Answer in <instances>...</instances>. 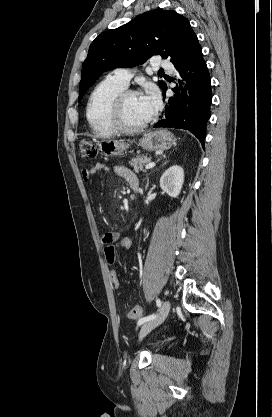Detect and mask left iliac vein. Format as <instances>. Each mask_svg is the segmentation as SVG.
I'll use <instances>...</instances> for the list:
<instances>
[{
	"instance_id": "4c4485c4",
	"label": "left iliac vein",
	"mask_w": 272,
	"mask_h": 417,
	"mask_svg": "<svg viewBox=\"0 0 272 417\" xmlns=\"http://www.w3.org/2000/svg\"><path fill=\"white\" fill-rule=\"evenodd\" d=\"M170 311V302L165 300L159 313L151 320L144 323L140 329L139 338H144L150 331L164 322Z\"/></svg>"
}]
</instances>
